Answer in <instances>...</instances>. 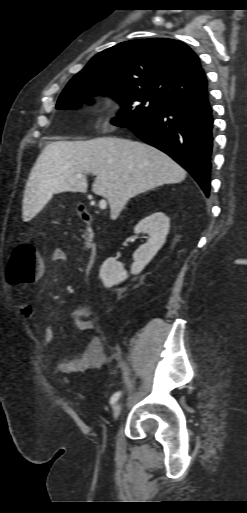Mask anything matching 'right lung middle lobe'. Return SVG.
Instances as JSON below:
<instances>
[{
  "label": "right lung middle lobe",
  "mask_w": 247,
  "mask_h": 513,
  "mask_svg": "<svg viewBox=\"0 0 247 513\" xmlns=\"http://www.w3.org/2000/svg\"><path fill=\"white\" fill-rule=\"evenodd\" d=\"M99 94L110 96L121 105V112L112 120V123L119 127H130L142 123L168 104L161 99L138 94L126 87L70 80L58 99L57 108L69 109Z\"/></svg>",
  "instance_id": "dd1d6c3e"
}]
</instances>
